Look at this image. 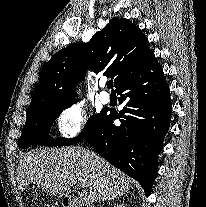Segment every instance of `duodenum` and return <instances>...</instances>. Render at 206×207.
Instances as JSON below:
<instances>
[{
  "instance_id": "duodenum-1",
  "label": "duodenum",
  "mask_w": 206,
  "mask_h": 207,
  "mask_svg": "<svg viewBox=\"0 0 206 207\" xmlns=\"http://www.w3.org/2000/svg\"><path fill=\"white\" fill-rule=\"evenodd\" d=\"M65 207H79L76 202L74 201V199H67V203L65 204Z\"/></svg>"
}]
</instances>
